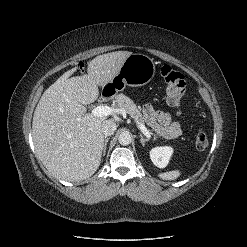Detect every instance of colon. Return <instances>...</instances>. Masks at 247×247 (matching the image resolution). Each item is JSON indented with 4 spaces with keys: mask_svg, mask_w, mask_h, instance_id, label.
Instances as JSON below:
<instances>
[{
    "mask_svg": "<svg viewBox=\"0 0 247 247\" xmlns=\"http://www.w3.org/2000/svg\"><path fill=\"white\" fill-rule=\"evenodd\" d=\"M161 76L165 82L166 100L169 105L178 108L186 91V82L182 73L169 65L161 68ZM195 145L198 150L208 146V136L203 128H198L195 135Z\"/></svg>",
    "mask_w": 247,
    "mask_h": 247,
    "instance_id": "5ec220e1",
    "label": "colon"
}]
</instances>
